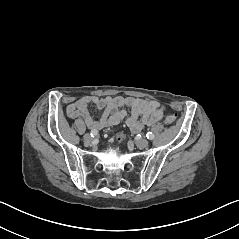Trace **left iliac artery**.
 I'll return each mask as SVG.
<instances>
[{
    "mask_svg": "<svg viewBox=\"0 0 239 239\" xmlns=\"http://www.w3.org/2000/svg\"><path fill=\"white\" fill-rule=\"evenodd\" d=\"M146 137L149 139V140H153L154 139V134L152 133V132H148L147 134H146Z\"/></svg>",
    "mask_w": 239,
    "mask_h": 239,
    "instance_id": "1",
    "label": "left iliac artery"
}]
</instances>
